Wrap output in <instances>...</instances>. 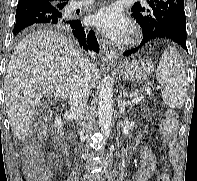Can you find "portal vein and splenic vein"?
Masks as SVG:
<instances>
[{
    "instance_id": "1",
    "label": "portal vein and splenic vein",
    "mask_w": 197,
    "mask_h": 181,
    "mask_svg": "<svg viewBox=\"0 0 197 181\" xmlns=\"http://www.w3.org/2000/svg\"><path fill=\"white\" fill-rule=\"evenodd\" d=\"M151 92H152V90H151L150 87H147V88L145 89V93H146L147 95H150ZM143 98H144V96H139V97L134 98L131 102H132V103H138V102H140Z\"/></svg>"
}]
</instances>
